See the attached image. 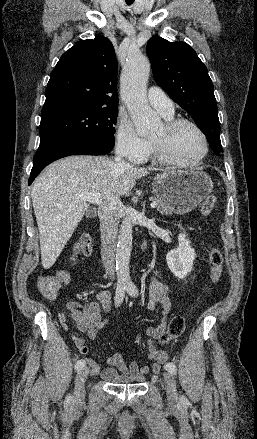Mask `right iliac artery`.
<instances>
[{
	"label": "right iliac artery",
	"instance_id": "right-iliac-artery-1",
	"mask_svg": "<svg viewBox=\"0 0 257 439\" xmlns=\"http://www.w3.org/2000/svg\"><path fill=\"white\" fill-rule=\"evenodd\" d=\"M125 289H126V286L123 285V284H119L117 286V288H116V296H115V304H116V306H119L122 303L123 298H124V294H125ZM85 364H86L85 360L84 359H80V360H78L76 362L75 369L77 371H79L80 369H82L85 366ZM68 399L71 400V396H69Z\"/></svg>",
	"mask_w": 257,
	"mask_h": 439
}]
</instances>
